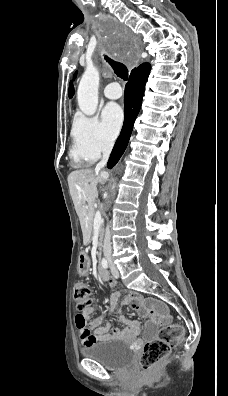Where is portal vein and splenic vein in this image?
Listing matches in <instances>:
<instances>
[{"label": "portal vein and splenic vein", "mask_w": 228, "mask_h": 396, "mask_svg": "<svg viewBox=\"0 0 228 396\" xmlns=\"http://www.w3.org/2000/svg\"><path fill=\"white\" fill-rule=\"evenodd\" d=\"M102 223V218L100 212H97L94 218V227L95 226H100Z\"/></svg>", "instance_id": "portal-vein-and-splenic-vein-1"}]
</instances>
